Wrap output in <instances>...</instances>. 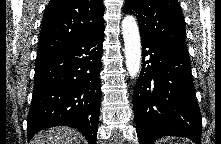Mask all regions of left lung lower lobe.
I'll return each mask as SVG.
<instances>
[{
	"mask_svg": "<svg viewBox=\"0 0 221 144\" xmlns=\"http://www.w3.org/2000/svg\"><path fill=\"white\" fill-rule=\"evenodd\" d=\"M142 55V69L133 92L140 144H152L167 135L201 144V113L188 51L142 38ZM145 57L150 59L145 61Z\"/></svg>",
	"mask_w": 221,
	"mask_h": 144,
	"instance_id": "0a47b994",
	"label": "left lung lower lobe"
}]
</instances>
